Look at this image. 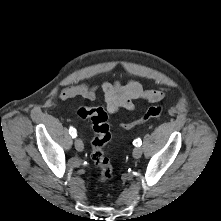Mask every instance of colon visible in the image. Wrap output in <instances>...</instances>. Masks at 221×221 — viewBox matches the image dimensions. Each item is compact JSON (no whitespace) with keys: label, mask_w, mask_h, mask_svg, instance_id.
Listing matches in <instances>:
<instances>
[{"label":"colon","mask_w":221,"mask_h":221,"mask_svg":"<svg viewBox=\"0 0 221 221\" xmlns=\"http://www.w3.org/2000/svg\"><path fill=\"white\" fill-rule=\"evenodd\" d=\"M164 111V107L160 104L149 107L138 119L122 123L124 129H130L138 124H142L151 119L159 118ZM77 115L82 119H90L94 131L92 140L91 159L99 168L97 181L106 183L113 176V169L109 159L104 155V147L111 140V131L108 123L107 112L100 107L82 106L78 109Z\"/></svg>","instance_id":"obj_1"}]
</instances>
